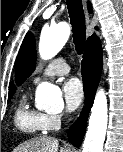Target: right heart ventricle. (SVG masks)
<instances>
[{
	"instance_id": "obj_1",
	"label": "right heart ventricle",
	"mask_w": 123,
	"mask_h": 152,
	"mask_svg": "<svg viewBox=\"0 0 123 152\" xmlns=\"http://www.w3.org/2000/svg\"><path fill=\"white\" fill-rule=\"evenodd\" d=\"M41 112L29 108L26 97L20 101L14 115L15 125L22 131L30 134H41L46 130L43 125Z\"/></svg>"
}]
</instances>
